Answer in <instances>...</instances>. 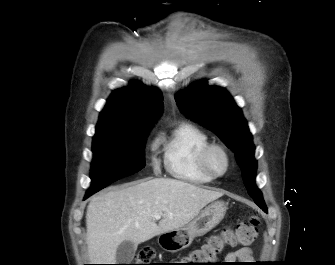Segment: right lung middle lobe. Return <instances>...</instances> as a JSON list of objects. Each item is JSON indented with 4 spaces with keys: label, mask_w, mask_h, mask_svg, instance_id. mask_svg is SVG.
Listing matches in <instances>:
<instances>
[{
    "label": "right lung middle lobe",
    "mask_w": 335,
    "mask_h": 265,
    "mask_svg": "<svg viewBox=\"0 0 335 265\" xmlns=\"http://www.w3.org/2000/svg\"><path fill=\"white\" fill-rule=\"evenodd\" d=\"M152 125L96 133L93 138L94 159L91 168L92 195L112 182L130 176L145 166L144 143Z\"/></svg>",
    "instance_id": "right-lung-middle-lobe-1"
}]
</instances>
